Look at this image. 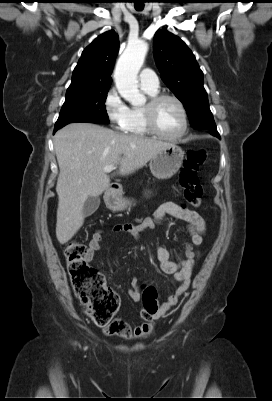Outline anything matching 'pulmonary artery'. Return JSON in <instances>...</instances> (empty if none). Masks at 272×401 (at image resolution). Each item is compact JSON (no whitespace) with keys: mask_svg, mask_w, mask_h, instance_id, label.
<instances>
[{"mask_svg":"<svg viewBox=\"0 0 272 401\" xmlns=\"http://www.w3.org/2000/svg\"><path fill=\"white\" fill-rule=\"evenodd\" d=\"M140 86L145 90L156 91L159 88V79L156 73L149 68H145L139 75Z\"/></svg>","mask_w":272,"mask_h":401,"instance_id":"obj_1","label":"pulmonary artery"}]
</instances>
